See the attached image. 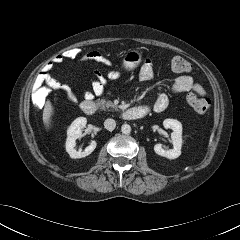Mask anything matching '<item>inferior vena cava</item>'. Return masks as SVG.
I'll return each instance as SVG.
<instances>
[{"instance_id":"602c4592","label":"inferior vena cava","mask_w":240,"mask_h":240,"mask_svg":"<svg viewBox=\"0 0 240 240\" xmlns=\"http://www.w3.org/2000/svg\"><path fill=\"white\" fill-rule=\"evenodd\" d=\"M104 127L105 129L112 131L116 127V122L114 119L108 118L104 121Z\"/></svg>"}]
</instances>
